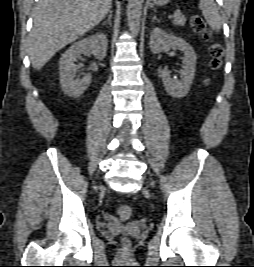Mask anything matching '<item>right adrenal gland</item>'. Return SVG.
<instances>
[{
	"label": "right adrenal gland",
	"instance_id": "2a0ac1e0",
	"mask_svg": "<svg viewBox=\"0 0 254 267\" xmlns=\"http://www.w3.org/2000/svg\"><path fill=\"white\" fill-rule=\"evenodd\" d=\"M111 18H112V11H109V14H108V19H107V21H104L103 23H102V25H106L107 23L111 26L112 24H111Z\"/></svg>",
	"mask_w": 254,
	"mask_h": 267
}]
</instances>
